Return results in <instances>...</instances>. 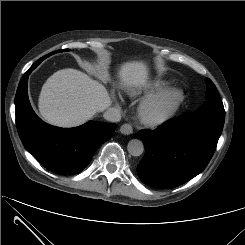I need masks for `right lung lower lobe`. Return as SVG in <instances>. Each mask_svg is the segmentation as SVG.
Segmentation results:
<instances>
[{"mask_svg":"<svg viewBox=\"0 0 245 245\" xmlns=\"http://www.w3.org/2000/svg\"><path fill=\"white\" fill-rule=\"evenodd\" d=\"M32 67L20 80L16 97V125L24 147L45 168L60 174L81 172L94 152L115 131L114 123L90 121L75 128L51 126L37 117L28 99L27 81Z\"/></svg>","mask_w":245,"mask_h":245,"instance_id":"obj_1","label":"right lung lower lobe"}]
</instances>
